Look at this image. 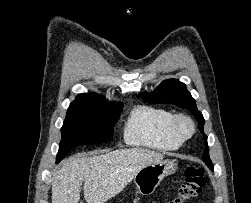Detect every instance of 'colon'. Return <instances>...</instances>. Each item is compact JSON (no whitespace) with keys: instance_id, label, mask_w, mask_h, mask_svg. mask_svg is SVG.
Returning <instances> with one entry per match:
<instances>
[{"instance_id":"colon-1","label":"colon","mask_w":251,"mask_h":203,"mask_svg":"<svg viewBox=\"0 0 251 203\" xmlns=\"http://www.w3.org/2000/svg\"><path fill=\"white\" fill-rule=\"evenodd\" d=\"M185 177L180 184L176 196L168 203H185L196 198L205 185L204 169L190 165L185 169Z\"/></svg>"}]
</instances>
